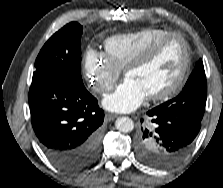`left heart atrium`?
<instances>
[{"instance_id":"left-heart-atrium-1","label":"left heart atrium","mask_w":223,"mask_h":188,"mask_svg":"<svg viewBox=\"0 0 223 188\" xmlns=\"http://www.w3.org/2000/svg\"><path fill=\"white\" fill-rule=\"evenodd\" d=\"M147 94L141 86L131 78L124 81L103 100V106L114 112H130L139 107Z\"/></svg>"}]
</instances>
